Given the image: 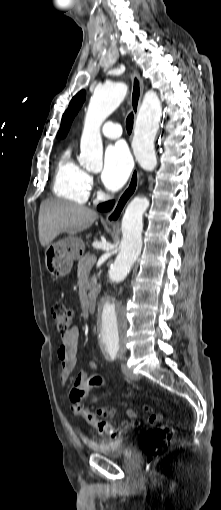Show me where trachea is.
Listing matches in <instances>:
<instances>
[{"label": "trachea", "instance_id": "3493384b", "mask_svg": "<svg viewBox=\"0 0 221 510\" xmlns=\"http://www.w3.org/2000/svg\"><path fill=\"white\" fill-rule=\"evenodd\" d=\"M133 128V113H130L126 119V129L128 133L132 132Z\"/></svg>", "mask_w": 221, "mask_h": 510}]
</instances>
